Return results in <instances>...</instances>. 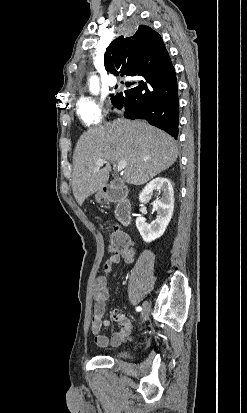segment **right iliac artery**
<instances>
[{"mask_svg": "<svg viewBox=\"0 0 247 413\" xmlns=\"http://www.w3.org/2000/svg\"><path fill=\"white\" fill-rule=\"evenodd\" d=\"M136 310H137V311H141L142 308H141L140 306H138V307L136 308Z\"/></svg>", "mask_w": 247, "mask_h": 413, "instance_id": "right-iliac-artery-1", "label": "right iliac artery"}]
</instances>
